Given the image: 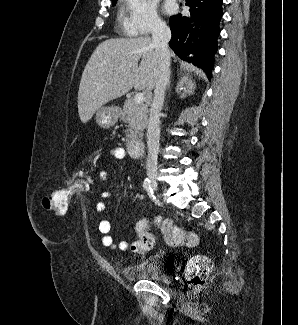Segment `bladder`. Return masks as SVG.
<instances>
[{
    "label": "bladder",
    "mask_w": 298,
    "mask_h": 325,
    "mask_svg": "<svg viewBox=\"0 0 298 325\" xmlns=\"http://www.w3.org/2000/svg\"><path fill=\"white\" fill-rule=\"evenodd\" d=\"M121 274L128 281L169 282V278L162 269L161 260L156 255L145 257L136 263L123 267Z\"/></svg>",
    "instance_id": "31cf9c89"
}]
</instances>
